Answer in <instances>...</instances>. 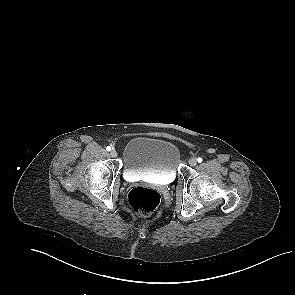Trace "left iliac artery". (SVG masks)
I'll list each match as a JSON object with an SVG mask.
<instances>
[{
	"mask_svg": "<svg viewBox=\"0 0 295 295\" xmlns=\"http://www.w3.org/2000/svg\"><path fill=\"white\" fill-rule=\"evenodd\" d=\"M197 161H198L199 163H201V162H202V158L199 157V158L197 159Z\"/></svg>",
	"mask_w": 295,
	"mask_h": 295,
	"instance_id": "obj_1",
	"label": "left iliac artery"
}]
</instances>
